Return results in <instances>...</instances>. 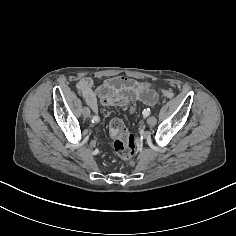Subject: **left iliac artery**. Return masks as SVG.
Returning a JSON list of instances; mask_svg holds the SVG:
<instances>
[{
    "instance_id": "44dca946",
    "label": "left iliac artery",
    "mask_w": 236,
    "mask_h": 236,
    "mask_svg": "<svg viewBox=\"0 0 236 236\" xmlns=\"http://www.w3.org/2000/svg\"><path fill=\"white\" fill-rule=\"evenodd\" d=\"M149 114H150V109H149V108L144 109L143 115H144V116H148Z\"/></svg>"
}]
</instances>
